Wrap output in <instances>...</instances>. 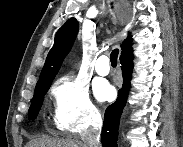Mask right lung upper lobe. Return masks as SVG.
Wrapping results in <instances>:
<instances>
[{"mask_svg":"<svg viewBox=\"0 0 183 147\" xmlns=\"http://www.w3.org/2000/svg\"><path fill=\"white\" fill-rule=\"evenodd\" d=\"M78 33V22L75 18L69 19L56 33L54 45L49 51L45 65L41 71L40 78L35 90L50 87L53 79L59 71L65 55L70 51ZM132 38L129 35L122 43V54L133 51L131 48Z\"/></svg>","mask_w":183,"mask_h":147,"instance_id":"1","label":"right lung upper lobe"}]
</instances>
